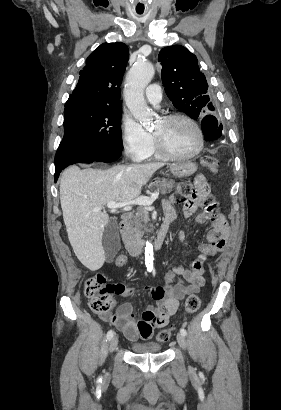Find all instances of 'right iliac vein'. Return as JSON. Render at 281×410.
I'll return each mask as SVG.
<instances>
[{"label": "right iliac vein", "mask_w": 281, "mask_h": 410, "mask_svg": "<svg viewBox=\"0 0 281 410\" xmlns=\"http://www.w3.org/2000/svg\"><path fill=\"white\" fill-rule=\"evenodd\" d=\"M117 345H118V338L114 336L113 338H111L110 343H109L110 351L113 352L116 349Z\"/></svg>", "instance_id": "63e3f726"}]
</instances>
